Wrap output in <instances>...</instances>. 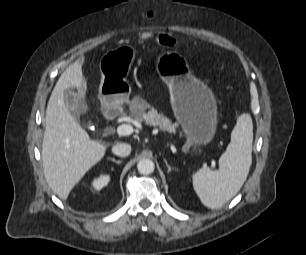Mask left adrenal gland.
<instances>
[{
	"mask_svg": "<svg viewBox=\"0 0 306 255\" xmlns=\"http://www.w3.org/2000/svg\"><path fill=\"white\" fill-rule=\"evenodd\" d=\"M164 162H165V164H166V166H167V169H168V173H170L172 170H175V168H172L169 164H168V162H167V160L164 158Z\"/></svg>",
	"mask_w": 306,
	"mask_h": 255,
	"instance_id": "left-adrenal-gland-1",
	"label": "left adrenal gland"
}]
</instances>
